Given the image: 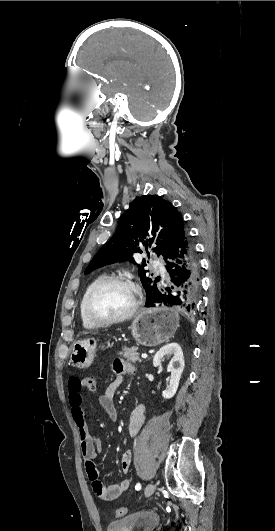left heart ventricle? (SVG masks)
I'll return each mask as SVG.
<instances>
[{
	"mask_svg": "<svg viewBox=\"0 0 275 531\" xmlns=\"http://www.w3.org/2000/svg\"><path fill=\"white\" fill-rule=\"evenodd\" d=\"M134 300L132 288L121 282L102 287L91 299L90 313L98 318H115L129 311Z\"/></svg>",
	"mask_w": 275,
	"mask_h": 531,
	"instance_id": "b2bd125f",
	"label": "left heart ventricle"
}]
</instances>
